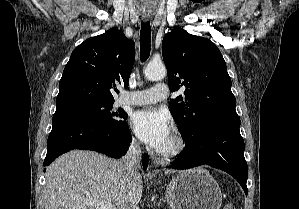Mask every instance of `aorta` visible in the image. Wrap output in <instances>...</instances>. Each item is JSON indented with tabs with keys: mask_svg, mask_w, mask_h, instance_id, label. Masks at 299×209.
Returning a JSON list of instances; mask_svg holds the SVG:
<instances>
[{
	"mask_svg": "<svg viewBox=\"0 0 299 209\" xmlns=\"http://www.w3.org/2000/svg\"><path fill=\"white\" fill-rule=\"evenodd\" d=\"M150 81H158L166 76V68L162 63H149L144 71Z\"/></svg>",
	"mask_w": 299,
	"mask_h": 209,
	"instance_id": "aorta-1",
	"label": "aorta"
}]
</instances>
